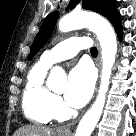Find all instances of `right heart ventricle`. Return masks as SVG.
Instances as JSON below:
<instances>
[{"instance_id": "right-heart-ventricle-1", "label": "right heart ventricle", "mask_w": 136, "mask_h": 136, "mask_svg": "<svg viewBox=\"0 0 136 136\" xmlns=\"http://www.w3.org/2000/svg\"><path fill=\"white\" fill-rule=\"evenodd\" d=\"M49 66L41 60L29 71L22 95L25 116L34 123L46 124L56 117L53 109L54 94L45 84Z\"/></svg>"}]
</instances>
